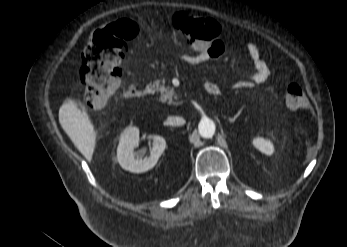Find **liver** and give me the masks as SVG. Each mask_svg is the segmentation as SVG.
<instances>
[{
	"label": "liver",
	"mask_w": 347,
	"mask_h": 247,
	"mask_svg": "<svg viewBox=\"0 0 347 247\" xmlns=\"http://www.w3.org/2000/svg\"><path fill=\"white\" fill-rule=\"evenodd\" d=\"M67 98L59 110L60 123L82 155L90 161L96 145V132L85 108Z\"/></svg>",
	"instance_id": "liver-1"
}]
</instances>
